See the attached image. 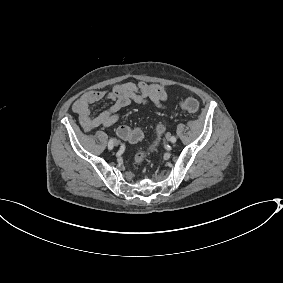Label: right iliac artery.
I'll use <instances>...</instances> for the list:
<instances>
[{"instance_id":"1","label":"right iliac artery","mask_w":283,"mask_h":283,"mask_svg":"<svg viewBox=\"0 0 283 283\" xmlns=\"http://www.w3.org/2000/svg\"><path fill=\"white\" fill-rule=\"evenodd\" d=\"M108 149L112 150L113 149V139H110L109 143H108Z\"/></svg>"}]
</instances>
